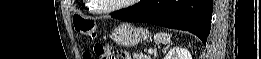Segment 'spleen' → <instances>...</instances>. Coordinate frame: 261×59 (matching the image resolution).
Instances as JSON below:
<instances>
[{"instance_id":"3e777b00","label":"spleen","mask_w":261,"mask_h":59,"mask_svg":"<svg viewBox=\"0 0 261 59\" xmlns=\"http://www.w3.org/2000/svg\"><path fill=\"white\" fill-rule=\"evenodd\" d=\"M154 39L162 44H168L171 42V35L168 33L160 32L154 35Z\"/></svg>"}]
</instances>
